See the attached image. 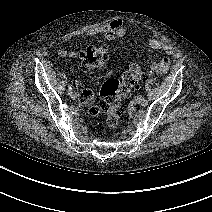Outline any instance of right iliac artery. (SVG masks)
Returning <instances> with one entry per match:
<instances>
[{
	"instance_id": "82829eb1",
	"label": "right iliac artery",
	"mask_w": 212,
	"mask_h": 212,
	"mask_svg": "<svg viewBox=\"0 0 212 212\" xmlns=\"http://www.w3.org/2000/svg\"><path fill=\"white\" fill-rule=\"evenodd\" d=\"M71 93H72V87L69 86L68 89H67V94L70 95Z\"/></svg>"
}]
</instances>
